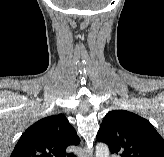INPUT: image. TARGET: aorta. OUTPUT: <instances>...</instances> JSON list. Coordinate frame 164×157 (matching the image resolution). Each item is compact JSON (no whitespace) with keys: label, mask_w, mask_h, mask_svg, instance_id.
Segmentation results:
<instances>
[{"label":"aorta","mask_w":164,"mask_h":157,"mask_svg":"<svg viewBox=\"0 0 164 157\" xmlns=\"http://www.w3.org/2000/svg\"><path fill=\"white\" fill-rule=\"evenodd\" d=\"M96 157H109V148L104 143H99L96 146Z\"/></svg>","instance_id":"aorta-1"}]
</instances>
